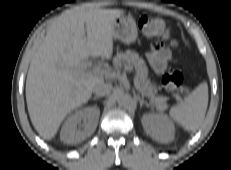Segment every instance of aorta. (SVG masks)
Segmentation results:
<instances>
[{"mask_svg":"<svg viewBox=\"0 0 231 170\" xmlns=\"http://www.w3.org/2000/svg\"><path fill=\"white\" fill-rule=\"evenodd\" d=\"M117 101L122 106H129L132 103V98L129 94H119L117 97Z\"/></svg>","mask_w":231,"mask_h":170,"instance_id":"aorta-1","label":"aorta"}]
</instances>
